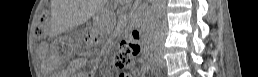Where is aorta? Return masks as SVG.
Segmentation results:
<instances>
[{"label":"aorta","instance_id":"762f6f07","mask_svg":"<svg viewBox=\"0 0 258 77\" xmlns=\"http://www.w3.org/2000/svg\"><path fill=\"white\" fill-rule=\"evenodd\" d=\"M164 2V0H153L150 11V18L152 22H155L161 16L164 9Z\"/></svg>","mask_w":258,"mask_h":77}]
</instances>
